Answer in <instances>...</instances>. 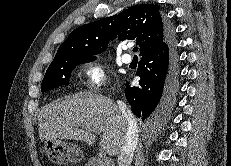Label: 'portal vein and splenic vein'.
Here are the masks:
<instances>
[{
    "label": "portal vein and splenic vein",
    "mask_w": 231,
    "mask_h": 166,
    "mask_svg": "<svg viewBox=\"0 0 231 166\" xmlns=\"http://www.w3.org/2000/svg\"><path fill=\"white\" fill-rule=\"evenodd\" d=\"M102 162L105 163V164H107L108 166L110 165V160L107 157H103L102 158Z\"/></svg>",
    "instance_id": "portal-vein-and-splenic-vein-1"
}]
</instances>
